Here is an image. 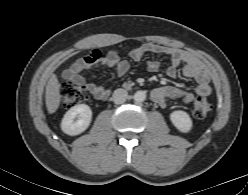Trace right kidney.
Returning <instances> with one entry per match:
<instances>
[{"instance_id": "ca27d5eb", "label": "right kidney", "mask_w": 248, "mask_h": 195, "mask_svg": "<svg viewBox=\"0 0 248 195\" xmlns=\"http://www.w3.org/2000/svg\"><path fill=\"white\" fill-rule=\"evenodd\" d=\"M92 110L86 104L71 107L64 115L61 129L65 134L74 136L84 132L90 125Z\"/></svg>"}]
</instances>
